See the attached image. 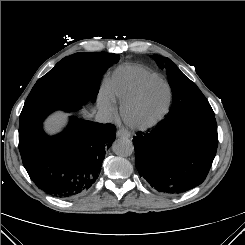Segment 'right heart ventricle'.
Returning a JSON list of instances; mask_svg holds the SVG:
<instances>
[{"label": "right heart ventricle", "instance_id": "1", "mask_svg": "<svg viewBox=\"0 0 245 245\" xmlns=\"http://www.w3.org/2000/svg\"><path fill=\"white\" fill-rule=\"evenodd\" d=\"M158 75L141 65H122L112 74L109 92L114 99L121 103L132 97L139 87L147 80Z\"/></svg>", "mask_w": 245, "mask_h": 245}]
</instances>
